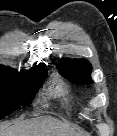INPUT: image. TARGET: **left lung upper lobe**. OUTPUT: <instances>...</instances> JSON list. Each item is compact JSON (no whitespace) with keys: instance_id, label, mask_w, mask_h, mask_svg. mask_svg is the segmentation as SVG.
I'll use <instances>...</instances> for the list:
<instances>
[{"instance_id":"1","label":"left lung upper lobe","mask_w":117,"mask_h":136,"mask_svg":"<svg viewBox=\"0 0 117 136\" xmlns=\"http://www.w3.org/2000/svg\"><path fill=\"white\" fill-rule=\"evenodd\" d=\"M60 74L77 84H92L90 77L92 66L85 59H63L58 65Z\"/></svg>"}]
</instances>
